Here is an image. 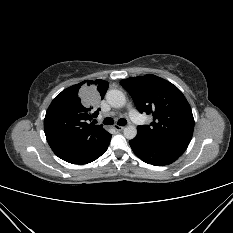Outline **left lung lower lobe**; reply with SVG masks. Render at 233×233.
Masks as SVG:
<instances>
[{
	"instance_id": "obj_1",
	"label": "left lung lower lobe",
	"mask_w": 233,
	"mask_h": 233,
	"mask_svg": "<svg viewBox=\"0 0 233 233\" xmlns=\"http://www.w3.org/2000/svg\"><path fill=\"white\" fill-rule=\"evenodd\" d=\"M133 152L144 162L154 166H164L176 161L183 151L169 149L150 143L137 135L129 141Z\"/></svg>"
}]
</instances>
